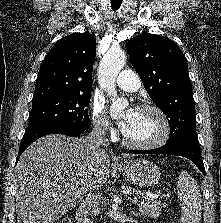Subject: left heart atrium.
I'll return each mask as SVG.
<instances>
[{"label":"left heart atrium","mask_w":221,"mask_h":223,"mask_svg":"<svg viewBox=\"0 0 221 223\" xmlns=\"http://www.w3.org/2000/svg\"><path fill=\"white\" fill-rule=\"evenodd\" d=\"M135 113H136V110L133 108H130L126 111L124 116L121 118L119 125L123 132L126 131L127 128L129 127V124H130L132 118L134 117Z\"/></svg>","instance_id":"1"}]
</instances>
